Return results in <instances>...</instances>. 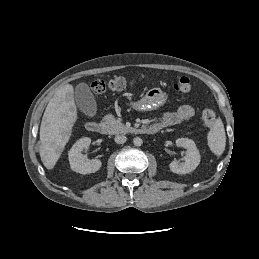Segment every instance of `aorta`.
<instances>
[{
  "label": "aorta",
  "instance_id": "1",
  "mask_svg": "<svg viewBox=\"0 0 259 259\" xmlns=\"http://www.w3.org/2000/svg\"><path fill=\"white\" fill-rule=\"evenodd\" d=\"M142 143H143V141H142V139H141L140 137H135V138L133 139V144H134L135 146H141Z\"/></svg>",
  "mask_w": 259,
  "mask_h": 259
}]
</instances>
